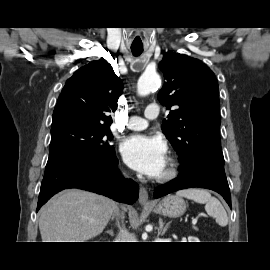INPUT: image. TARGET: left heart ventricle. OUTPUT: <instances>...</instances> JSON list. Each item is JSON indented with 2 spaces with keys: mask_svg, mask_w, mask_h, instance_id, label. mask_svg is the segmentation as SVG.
<instances>
[{
  "mask_svg": "<svg viewBox=\"0 0 270 270\" xmlns=\"http://www.w3.org/2000/svg\"><path fill=\"white\" fill-rule=\"evenodd\" d=\"M166 167H167V165H166ZM166 167H165V169H166ZM165 169L163 170V172L165 171ZM163 172H162V173H163ZM162 173H161V174H162Z\"/></svg>",
  "mask_w": 270,
  "mask_h": 270,
  "instance_id": "left-heart-ventricle-1",
  "label": "left heart ventricle"
}]
</instances>
